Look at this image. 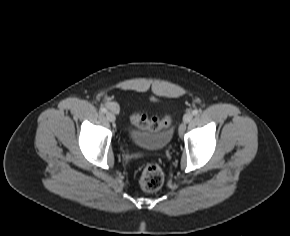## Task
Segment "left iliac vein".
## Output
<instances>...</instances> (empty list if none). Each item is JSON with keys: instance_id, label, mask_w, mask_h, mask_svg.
<instances>
[{"instance_id": "1", "label": "left iliac vein", "mask_w": 290, "mask_h": 236, "mask_svg": "<svg viewBox=\"0 0 290 236\" xmlns=\"http://www.w3.org/2000/svg\"><path fill=\"white\" fill-rule=\"evenodd\" d=\"M193 118V114L191 112H187L184 117H183V121L185 123H189Z\"/></svg>"}]
</instances>
